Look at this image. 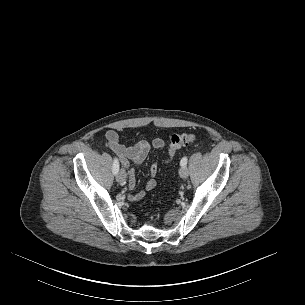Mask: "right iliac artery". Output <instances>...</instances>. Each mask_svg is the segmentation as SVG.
Returning a JSON list of instances; mask_svg holds the SVG:
<instances>
[{
    "instance_id": "1",
    "label": "right iliac artery",
    "mask_w": 305,
    "mask_h": 305,
    "mask_svg": "<svg viewBox=\"0 0 305 305\" xmlns=\"http://www.w3.org/2000/svg\"><path fill=\"white\" fill-rule=\"evenodd\" d=\"M119 171V161L118 159L115 157L114 158V162H113V173L117 174Z\"/></svg>"
}]
</instances>
